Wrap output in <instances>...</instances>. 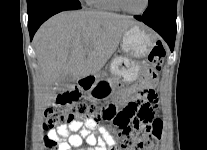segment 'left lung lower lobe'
<instances>
[{"instance_id": "1", "label": "left lung lower lobe", "mask_w": 207, "mask_h": 150, "mask_svg": "<svg viewBox=\"0 0 207 150\" xmlns=\"http://www.w3.org/2000/svg\"><path fill=\"white\" fill-rule=\"evenodd\" d=\"M176 4H171L163 10L152 15L135 16L157 33L168 43L171 51L174 49L176 37Z\"/></svg>"}]
</instances>
